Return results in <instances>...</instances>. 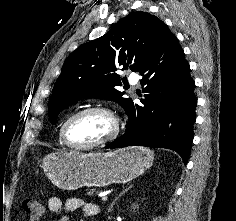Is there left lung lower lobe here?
Listing matches in <instances>:
<instances>
[{
	"mask_svg": "<svg viewBox=\"0 0 236 221\" xmlns=\"http://www.w3.org/2000/svg\"><path fill=\"white\" fill-rule=\"evenodd\" d=\"M139 73L145 99L140 105L131 102L126 110V132L110 148H167L176 151L186 164L195 123V82L184 51L170 30Z\"/></svg>",
	"mask_w": 236,
	"mask_h": 221,
	"instance_id": "0a47b994",
	"label": "left lung lower lobe"
}]
</instances>
